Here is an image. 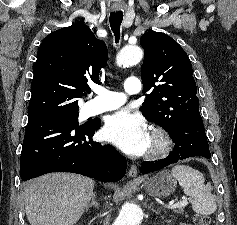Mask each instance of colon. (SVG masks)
<instances>
[{
  "label": "colon",
  "instance_id": "obj_1",
  "mask_svg": "<svg viewBox=\"0 0 237 225\" xmlns=\"http://www.w3.org/2000/svg\"><path fill=\"white\" fill-rule=\"evenodd\" d=\"M194 225H213V223L209 216L197 215L194 218Z\"/></svg>",
  "mask_w": 237,
  "mask_h": 225
}]
</instances>
